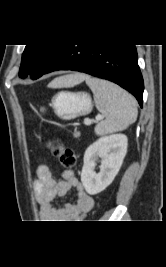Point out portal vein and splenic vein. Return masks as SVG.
<instances>
[{
	"instance_id": "18ae733b",
	"label": "portal vein and splenic vein",
	"mask_w": 166,
	"mask_h": 267,
	"mask_svg": "<svg viewBox=\"0 0 166 267\" xmlns=\"http://www.w3.org/2000/svg\"><path fill=\"white\" fill-rule=\"evenodd\" d=\"M102 118H103V116H102V115H99V116L96 117V120H100V119H102ZM91 122H92V121H91L90 119H85V120H84L85 125H90Z\"/></svg>"
}]
</instances>
